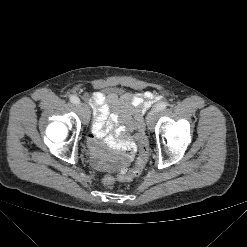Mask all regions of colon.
<instances>
[{"instance_id": "colon-1", "label": "colon", "mask_w": 247, "mask_h": 247, "mask_svg": "<svg viewBox=\"0 0 247 247\" xmlns=\"http://www.w3.org/2000/svg\"><path fill=\"white\" fill-rule=\"evenodd\" d=\"M136 137L139 141L140 147H139V155L137 157L136 164L130 168L129 170H122L117 177L107 176L104 178L103 183L106 186L113 185L117 180L118 181H131L137 178L143 171L144 166L146 164L148 154H149V148H148V142L147 138L142 132V130H139L136 132Z\"/></svg>"}]
</instances>
